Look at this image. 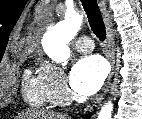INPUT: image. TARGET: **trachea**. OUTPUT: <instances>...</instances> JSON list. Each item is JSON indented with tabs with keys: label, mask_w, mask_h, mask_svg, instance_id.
Masks as SVG:
<instances>
[{
	"label": "trachea",
	"mask_w": 142,
	"mask_h": 119,
	"mask_svg": "<svg viewBox=\"0 0 142 119\" xmlns=\"http://www.w3.org/2000/svg\"><path fill=\"white\" fill-rule=\"evenodd\" d=\"M90 27L100 41L105 40L106 30L101 12L96 0H81Z\"/></svg>",
	"instance_id": "1"
}]
</instances>
